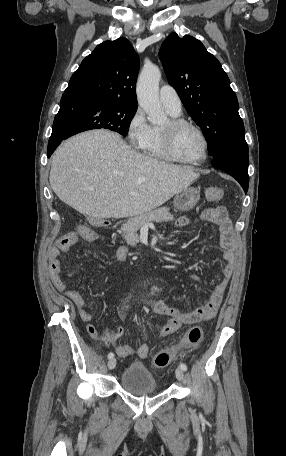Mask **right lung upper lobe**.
<instances>
[{
    "mask_svg": "<svg viewBox=\"0 0 286 456\" xmlns=\"http://www.w3.org/2000/svg\"><path fill=\"white\" fill-rule=\"evenodd\" d=\"M138 56L122 37L98 45L70 78L63 95L86 96L136 106Z\"/></svg>",
    "mask_w": 286,
    "mask_h": 456,
    "instance_id": "right-lung-upper-lobe-1",
    "label": "right lung upper lobe"
}]
</instances>
